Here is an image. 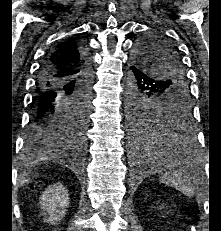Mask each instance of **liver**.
<instances>
[{
  "label": "liver",
  "instance_id": "6515ba94",
  "mask_svg": "<svg viewBox=\"0 0 221 231\" xmlns=\"http://www.w3.org/2000/svg\"><path fill=\"white\" fill-rule=\"evenodd\" d=\"M53 156H55V154H53V153H47V154H42V155H40L39 156V160L41 161V160H48V159H50V158H52ZM27 182V181H26Z\"/></svg>",
  "mask_w": 221,
  "mask_h": 231
}]
</instances>
